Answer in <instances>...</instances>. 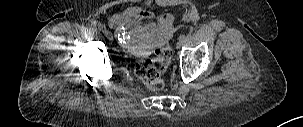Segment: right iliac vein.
Here are the masks:
<instances>
[{
  "label": "right iliac vein",
  "instance_id": "63e3f726",
  "mask_svg": "<svg viewBox=\"0 0 303 127\" xmlns=\"http://www.w3.org/2000/svg\"><path fill=\"white\" fill-rule=\"evenodd\" d=\"M104 33H105V36H106L109 40L112 39V34H111V32H109V31L106 30Z\"/></svg>",
  "mask_w": 303,
  "mask_h": 127
}]
</instances>
